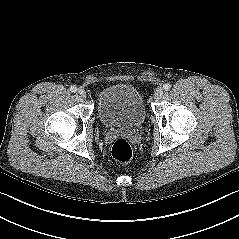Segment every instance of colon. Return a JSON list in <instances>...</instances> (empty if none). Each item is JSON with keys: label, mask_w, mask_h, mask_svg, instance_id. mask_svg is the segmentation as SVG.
I'll return each instance as SVG.
<instances>
[{"label": "colon", "mask_w": 239, "mask_h": 239, "mask_svg": "<svg viewBox=\"0 0 239 239\" xmlns=\"http://www.w3.org/2000/svg\"><path fill=\"white\" fill-rule=\"evenodd\" d=\"M111 154L117 161L126 163L132 158L133 150L125 138H118L112 145Z\"/></svg>", "instance_id": "colon-1"}]
</instances>
